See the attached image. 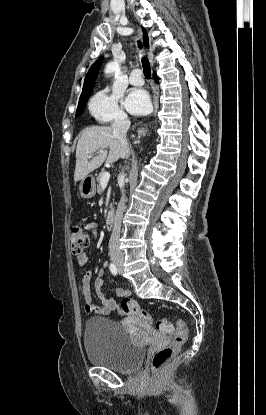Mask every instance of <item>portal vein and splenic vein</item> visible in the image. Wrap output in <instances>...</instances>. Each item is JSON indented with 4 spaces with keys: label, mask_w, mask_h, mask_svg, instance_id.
<instances>
[{
    "label": "portal vein and splenic vein",
    "mask_w": 266,
    "mask_h": 415,
    "mask_svg": "<svg viewBox=\"0 0 266 415\" xmlns=\"http://www.w3.org/2000/svg\"><path fill=\"white\" fill-rule=\"evenodd\" d=\"M102 151L100 150L99 153H101ZM88 158H91V156H89ZM110 179V173L109 172H104L101 176V180H100V184L102 187H106L108 184V181Z\"/></svg>",
    "instance_id": "1"
}]
</instances>
